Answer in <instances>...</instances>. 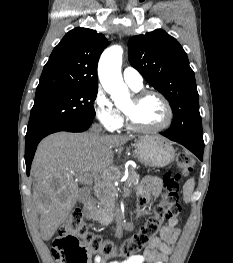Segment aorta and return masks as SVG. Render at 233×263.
I'll list each match as a JSON object with an SVG mask.
<instances>
[{
	"instance_id": "obj_1",
	"label": "aorta",
	"mask_w": 233,
	"mask_h": 263,
	"mask_svg": "<svg viewBox=\"0 0 233 263\" xmlns=\"http://www.w3.org/2000/svg\"><path fill=\"white\" fill-rule=\"evenodd\" d=\"M122 55L120 46H111L103 52L98 66L100 82L117 104L130 99L128 87L121 75Z\"/></svg>"
}]
</instances>
